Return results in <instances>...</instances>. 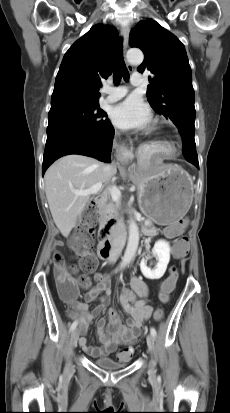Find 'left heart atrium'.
<instances>
[{"label":"left heart atrium","mask_w":230,"mask_h":413,"mask_svg":"<svg viewBox=\"0 0 230 413\" xmlns=\"http://www.w3.org/2000/svg\"><path fill=\"white\" fill-rule=\"evenodd\" d=\"M111 119L122 130H143L150 124L151 114L140 99L131 97L114 107Z\"/></svg>","instance_id":"left-heart-atrium-1"}]
</instances>
